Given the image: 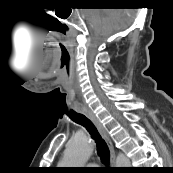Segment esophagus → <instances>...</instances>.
<instances>
[{
  "mask_svg": "<svg viewBox=\"0 0 173 173\" xmlns=\"http://www.w3.org/2000/svg\"><path fill=\"white\" fill-rule=\"evenodd\" d=\"M83 113L94 123L99 133L101 134L103 139L106 141L110 150V163L112 166H114L115 165V150H114V145L109 134L107 133L102 123L96 118V116L90 110L84 108Z\"/></svg>",
  "mask_w": 173,
  "mask_h": 173,
  "instance_id": "esophagus-1",
  "label": "esophagus"
}]
</instances>
